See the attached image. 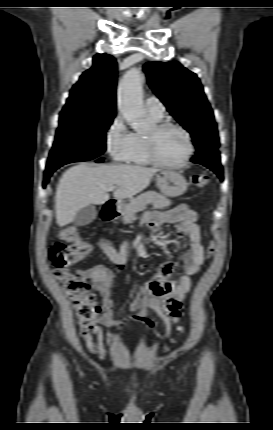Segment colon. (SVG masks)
Instances as JSON below:
<instances>
[{"label": "colon", "instance_id": "colon-1", "mask_svg": "<svg viewBox=\"0 0 273 430\" xmlns=\"http://www.w3.org/2000/svg\"><path fill=\"white\" fill-rule=\"evenodd\" d=\"M209 182V176L206 174L193 177V183L198 188H206ZM60 237L61 239L49 250V261L54 276L64 285L74 303L79 328L85 336L95 326L102 307L91 293V286L86 277L71 272L69 267L86 257L91 252V245L80 238L74 227L62 229ZM213 249V245L210 244L208 255L213 252Z\"/></svg>", "mask_w": 273, "mask_h": 430}]
</instances>
